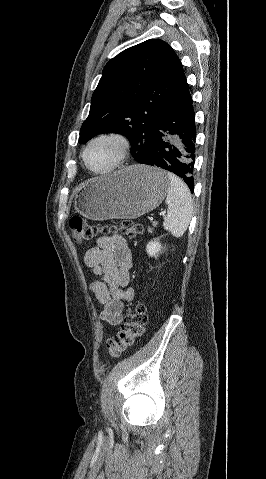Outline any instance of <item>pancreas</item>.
Returning a JSON list of instances; mask_svg holds the SVG:
<instances>
[{
	"instance_id": "pancreas-1",
	"label": "pancreas",
	"mask_w": 266,
	"mask_h": 479,
	"mask_svg": "<svg viewBox=\"0 0 266 479\" xmlns=\"http://www.w3.org/2000/svg\"><path fill=\"white\" fill-rule=\"evenodd\" d=\"M157 225H158V222H153L154 227H157ZM152 230H153L152 228L148 227V232H152Z\"/></svg>"
}]
</instances>
